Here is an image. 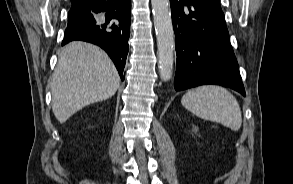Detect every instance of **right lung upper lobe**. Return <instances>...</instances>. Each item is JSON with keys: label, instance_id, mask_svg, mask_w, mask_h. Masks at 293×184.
I'll list each match as a JSON object with an SVG mask.
<instances>
[{"label": "right lung upper lobe", "instance_id": "obj_1", "mask_svg": "<svg viewBox=\"0 0 293 184\" xmlns=\"http://www.w3.org/2000/svg\"><path fill=\"white\" fill-rule=\"evenodd\" d=\"M90 2V1H94V0H72V4H77V3H81V2Z\"/></svg>", "mask_w": 293, "mask_h": 184}]
</instances>
